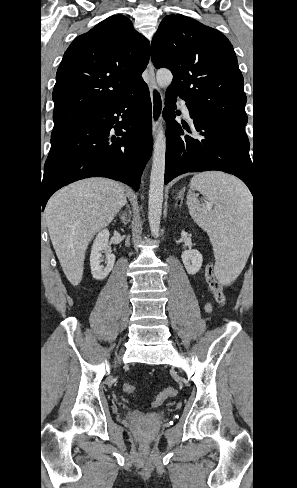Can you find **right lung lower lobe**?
I'll list each match as a JSON object with an SVG mask.
<instances>
[{"label":"right lung lower lobe","mask_w":297,"mask_h":488,"mask_svg":"<svg viewBox=\"0 0 297 488\" xmlns=\"http://www.w3.org/2000/svg\"><path fill=\"white\" fill-rule=\"evenodd\" d=\"M151 152V100L143 81L109 107L52 132L41 186L42 211L54 192L84 178L107 177L137 191Z\"/></svg>","instance_id":"98d812e1"}]
</instances>
